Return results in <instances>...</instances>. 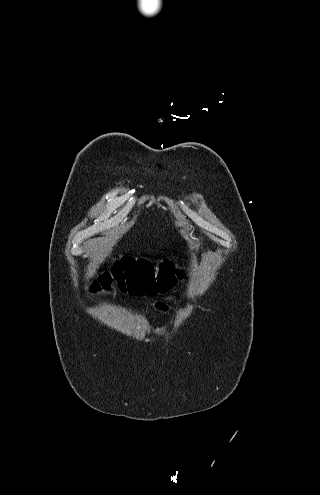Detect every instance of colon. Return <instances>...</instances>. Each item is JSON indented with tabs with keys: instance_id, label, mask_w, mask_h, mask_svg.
<instances>
[{
	"instance_id": "1",
	"label": "colon",
	"mask_w": 320,
	"mask_h": 495,
	"mask_svg": "<svg viewBox=\"0 0 320 495\" xmlns=\"http://www.w3.org/2000/svg\"><path fill=\"white\" fill-rule=\"evenodd\" d=\"M177 275L178 271L171 261L164 262L155 270L148 260L124 256L113 264L111 270L103 272L94 281L92 290H111L117 284L121 290L135 294H153L169 289Z\"/></svg>"
}]
</instances>
